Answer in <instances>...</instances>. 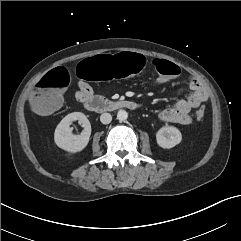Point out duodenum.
I'll return each instance as SVG.
<instances>
[{
	"label": "duodenum",
	"instance_id": "1",
	"mask_svg": "<svg viewBox=\"0 0 241 241\" xmlns=\"http://www.w3.org/2000/svg\"><path fill=\"white\" fill-rule=\"evenodd\" d=\"M84 107L91 112H111L121 109H137V104L128 100H106L100 97H92L84 102Z\"/></svg>",
	"mask_w": 241,
	"mask_h": 241
}]
</instances>
